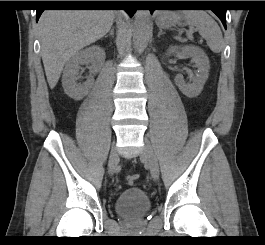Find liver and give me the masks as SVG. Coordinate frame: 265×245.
<instances>
[{"label": "liver", "mask_w": 265, "mask_h": 245, "mask_svg": "<svg viewBox=\"0 0 265 245\" xmlns=\"http://www.w3.org/2000/svg\"><path fill=\"white\" fill-rule=\"evenodd\" d=\"M119 13L111 10H47L38 22L41 56L53 89L66 62L105 36Z\"/></svg>", "instance_id": "obj_1"}]
</instances>
